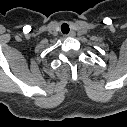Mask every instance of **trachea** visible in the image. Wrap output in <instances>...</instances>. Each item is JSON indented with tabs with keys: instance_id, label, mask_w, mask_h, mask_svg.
Segmentation results:
<instances>
[{
	"instance_id": "trachea-1",
	"label": "trachea",
	"mask_w": 127,
	"mask_h": 127,
	"mask_svg": "<svg viewBox=\"0 0 127 127\" xmlns=\"http://www.w3.org/2000/svg\"><path fill=\"white\" fill-rule=\"evenodd\" d=\"M61 31L63 34H68L70 31L69 25L67 23H63L61 25Z\"/></svg>"
}]
</instances>
